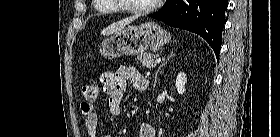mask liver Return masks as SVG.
<instances>
[{"label":"liver","mask_w":280,"mask_h":137,"mask_svg":"<svg viewBox=\"0 0 280 137\" xmlns=\"http://www.w3.org/2000/svg\"><path fill=\"white\" fill-rule=\"evenodd\" d=\"M136 19V16H132L126 19H123L121 21H118L110 26H108L107 28H105L101 34L103 35H111V34H116L119 31H121L122 29H124L128 24H130L132 21H134Z\"/></svg>","instance_id":"6515ba94"}]
</instances>
